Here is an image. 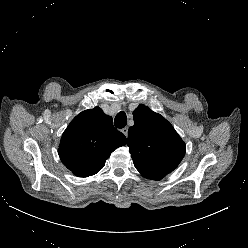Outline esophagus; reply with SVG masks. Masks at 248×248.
<instances>
[{
	"label": "esophagus",
	"instance_id": "1",
	"mask_svg": "<svg viewBox=\"0 0 248 248\" xmlns=\"http://www.w3.org/2000/svg\"><path fill=\"white\" fill-rule=\"evenodd\" d=\"M121 132H122L126 137L128 136V128H127V127L121 129Z\"/></svg>",
	"mask_w": 248,
	"mask_h": 248
}]
</instances>
